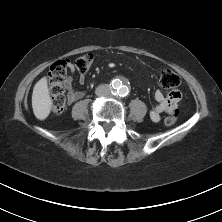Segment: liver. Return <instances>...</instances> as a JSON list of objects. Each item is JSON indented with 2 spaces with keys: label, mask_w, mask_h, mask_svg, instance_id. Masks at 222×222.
<instances>
[{
  "label": "liver",
  "mask_w": 222,
  "mask_h": 222,
  "mask_svg": "<svg viewBox=\"0 0 222 222\" xmlns=\"http://www.w3.org/2000/svg\"><path fill=\"white\" fill-rule=\"evenodd\" d=\"M32 108L35 117L45 120L51 111L52 100L49 94L47 78H41L34 86L32 93Z\"/></svg>",
  "instance_id": "6515ba94"
}]
</instances>
